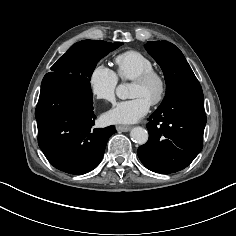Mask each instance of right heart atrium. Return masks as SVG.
<instances>
[{
	"mask_svg": "<svg viewBox=\"0 0 236 236\" xmlns=\"http://www.w3.org/2000/svg\"><path fill=\"white\" fill-rule=\"evenodd\" d=\"M91 94L99 100L112 101L118 85V76L104 63L95 64L88 74Z\"/></svg>",
	"mask_w": 236,
	"mask_h": 236,
	"instance_id": "1",
	"label": "right heart atrium"
}]
</instances>
